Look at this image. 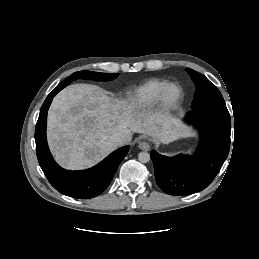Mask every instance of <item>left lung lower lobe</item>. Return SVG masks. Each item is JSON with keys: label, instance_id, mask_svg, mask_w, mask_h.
Segmentation results:
<instances>
[{"label": "left lung lower lobe", "instance_id": "0a47b994", "mask_svg": "<svg viewBox=\"0 0 259 259\" xmlns=\"http://www.w3.org/2000/svg\"><path fill=\"white\" fill-rule=\"evenodd\" d=\"M186 118L200 132V145L192 156L166 157L150 153L158 186L170 195H189L205 189L216 177L230 148L231 121L226 106H206Z\"/></svg>", "mask_w": 259, "mask_h": 259}]
</instances>
